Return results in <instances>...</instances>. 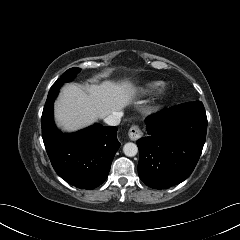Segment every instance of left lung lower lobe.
<instances>
[{"instance_id":"left-lung-lower-lobe-1","label":"left lung lower lobe","mask_w":240,"mask_h":240,"mask_svg":"<svg viewBox=\"0 0 240 240\" xmlns=\"http://www.w3.org/2000/svg\"><path fill=\"white\" fill-rule=\"evenodd\" d=\"M148 136L137 141L140 179L154 189L183 182L194 170L207 132L200 101L163 109L145 119Z\"/></svg>"}]
</instances>
